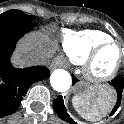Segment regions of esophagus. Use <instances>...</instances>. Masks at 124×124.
<instances>
[{
	"label": "esophagus",
	"mask_w": 124,
	"mask_h": 124,
	"mask_svg": "<svg viewBox=\"0 0 124 124\" xmlns=\"http://www.w3.org/2000/svg\"><path fill=\"white\" fill-rule=\"evenodd\" d=\"M60 65V63H59V61L57 60V59H55L53 62H52V64H51V68L53 69V68H56V67H58Z\"/></svg>",
	"instance_id": "obj_1"
}]
</instances>
